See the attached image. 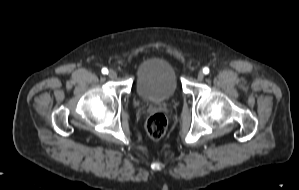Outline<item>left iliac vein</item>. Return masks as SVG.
Instances as JSON below:
<instances>
[{
    "label": "left iliac vein",
    "instance_id": "left-iliac-vein-1",
    "mask_svg": "<svg viewBox=\"0 0 299 190\" xmlns=\"http://www.w3.org/2000/svg\"><path fill=\"white\" fill-rule=\"evenodd\" d=\"M204 73L202 71H199L198 74H197V79L199 81H202L204 79Z\"/></svg>",
    "mask_w": 299,
    "mask_h": 190
}]
</instances>
